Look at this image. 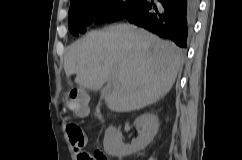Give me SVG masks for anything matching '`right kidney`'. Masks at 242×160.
Returning a JSON list of instances; mask_svg holds the SVG:
<instances>
[{
    "mask_svg": "<svg viewBox=\"0 0 242 160\" xmlns=\"http://www.w3.org/2000/svg\"><path fill=\"white\" fill-rule=\"evenodd\" d=\"M135 125L139 130V135L130 145L123 143L119 130L113 126L108 127L103 141L105 152L110 156L121 158L145 149L158 132V117L152 113H145L137 117Z\"/></svg>",
    "mask_w": 242,
    "mask_h": 160,
    "instance_id": "ca27d5eb",
    "label": "right kidney"
}]
</instances>
